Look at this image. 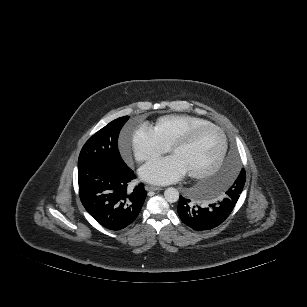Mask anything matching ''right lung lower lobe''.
I'll use <instances>...</instances> for the list:
<instances>
[{
  "instance_id": "98d812e1",
  "label": "right lung lower lobe",
  "mask_w": 307,
  "mask_h": 307,
  "mask_svg": "<svg viewBox=\"0 0 307 307\" xmlns=\"http://www.w3.org/2000/svg\"><path fill=\"white\" fill-rule=\"evenodd\" d=\"M135 178L127 166L92 163L78 168L79 196L88 213L103 227L120 230L138 216L146 191L143 184L127 188Z\"/></svg>"
}]
</instances>
